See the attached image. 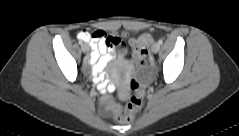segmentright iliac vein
<instances>
[{
    "label": "right iliac vein",
    "mask_w": 239,
    "mask_h": 136,
    "mask_svg": "<svg viewBox=\"0 0 239 136\" xmlns=\"http://www.w3.org/2000/svg\"><path fill=\"white\" fill-rule=\"evenodd\" d=\"M81 49L84 53H87L89 52L90 48H89V45L84 43L82 46H81Z\"/></svg>",
    "instance_id": "right-iliac-vein-1"
}]
</instances>
